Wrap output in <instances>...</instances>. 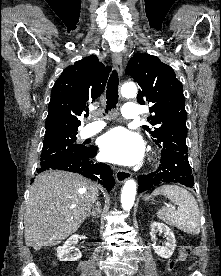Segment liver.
Returning <instances> with one entry per match:
<instances>
[{
  "instance_id": "obj_1",
  "label": "liver",
  "mask_w": 221,
  "mask_h": 276,
  "mask_svg": "<svg viewBox=\"0 0 221 276\" xmlns=\"http://www.w3.org/2000/svg\"><path fill=\"white\" fill-rule=\"evenodd\" d=\"M98 186L81 175L46 171L30 189L24 213L27 246L39 250L75 233L90 213Z\"/></svg>"
}]
</instances>
